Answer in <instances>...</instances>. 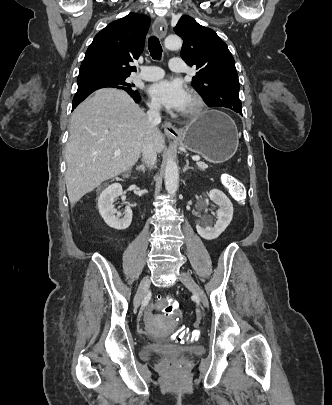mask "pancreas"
<instances>
[{"mask_svg": "<svg viewBox=\"0 0 332 405\" xmlns=\"http://www.w3.org/2000/svg\"><path fill=\"white\" fill-rule=\"evenodd\" d=\"M208 167V165L207 164H205L204 162H197V168L199 169V170H205L206 168Z\"/></svg>", "mask_w": 332, "mask_h": 405, "instance_id": "cf45deb5", "label": "pancreas"}]
</instances>
